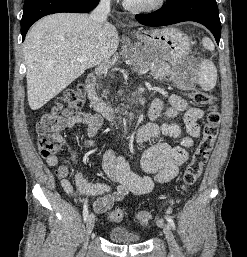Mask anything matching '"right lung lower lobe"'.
I'll list each match as a JSON object with an SVG mask.
<instances>
[{
	"mask_svg": "<svg viewBox=\"0 0 247 257\" xmlns=\"http://www.w3.org/2000/svg\"><path fill=\"white\" fill-rule=\"evenodd\" d=\"M98 3L99 0H25L21 19L22 41L30 26L38 19L60 12L87 13Z\"/></svg>",
	"mask_w": 247,
	"mask_h": 257,
	"instance_id": "1",
	"label": "right lung lower lobe"
}]
</instances>
